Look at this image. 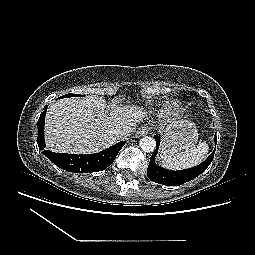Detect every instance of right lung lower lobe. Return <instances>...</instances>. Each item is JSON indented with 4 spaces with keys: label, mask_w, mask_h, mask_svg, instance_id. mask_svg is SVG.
I'll list each match as a JSON object with an SVG mask.
<instances>
[{
    "label": "right lung lower lobe",
    "mask_w": 255,
    "mask_h": 255,
    "mask_svg": "<svg viewBox=\"0 0 255 255\" xmlns=\"http://www.w3.org/2000/svg\"><path fill=\"white\" fill-rule=\"evenodd\" d=\"M47 106L41 113L38 120V146L42 150L45 147L44 142V122ZM125 142H119L110 148L95 154L76 155L54 153L49 150H43V154L59 168L73 173L98 172L110 166Z\"/></svg>",
    "instance_id": "obj_1"
}]
</instances>
